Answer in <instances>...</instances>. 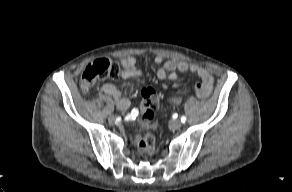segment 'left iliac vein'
<instances>
[{"mask_svg":"<svg viewBox=\"0 0 292 192\" xmlns=\"http://www.w3.org/2000/svg\"><path fill=\"white\" fill-rule=\"evenodd\" d=\"M181 122L179 121V120H172L171 122H170V127L172 128V129H174V130H177V129H179L180 127H181Z\"/></svg>","mask_w":292,"mask_h":192,"instance_id":"4c4485c4","label":"left iliac vein"}]
</instances>
